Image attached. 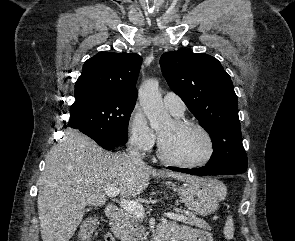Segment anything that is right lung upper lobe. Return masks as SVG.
<instances>
[{
	"mask_svg": "<svg viewBox=\"0 0 295 241\" xmlns=\"http://www.w3.org/2000/svg\"><path fill=\"white\" fill-rule=\"evenodd\" d=\"M142 57L135 53L100 52L88 59L75 84L76 100L95 94L136 101Z\"/></svg>",
	"mask_w": 295,
	"mask_h": 241,
	"instance_id": "cb5924a9",
	"label": "right lung upper lobe"
}]
</instances>
